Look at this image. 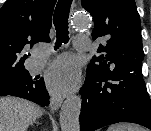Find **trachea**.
Instances as JSON below:
<instances>
[{
  "mask_svg": "<svg viewBox=\"0 0 151 131\" xmlns=\"http://www.w3.org/2000/svg\"><path fill=\"white\" fill-rule=\"evenodd\" d=\"M72 0H59L54 12V26L56 30L55 49L59 48L62 43L69 41L68 18Z\"/></svg>",
  "mask_w": 151,
  "mask_h": 131,
  "instance_id": "3493384b",
  "label": "trachea"
}]
</instances>
